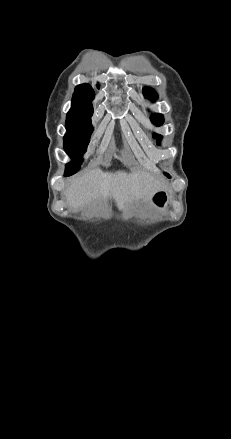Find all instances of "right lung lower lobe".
Segmentation results:
<instances>
[{
    "instance_id": "98d812e1",
    "label": "right lung lower lobe",
    "mask_w": 231,
    "mask_h": 439,
    "mask_svg": "<svg viewBox=\"0 0 231 439\" xmlns=\"http://www.w3.org/2000/svg\"><path fill=\"white\" fill-rule=\"evenodd\" d=\"M72 174H74V173L71 172V171H66V172H65V176H69V175H72Z\"/></svg>"
}]
</instances>
